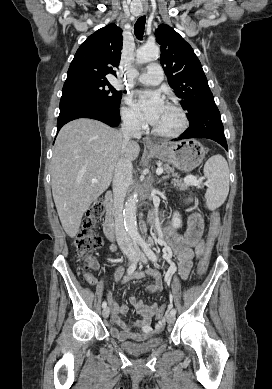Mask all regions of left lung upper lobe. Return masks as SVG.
<instances>
[{
    "label": "left lung upper lobe",
    "mask_w": 272,
    "mask_h": 389,
    "mask_svg": "<svg viewBox=\"0 0 272 389\" xmlns=\"http://www.w3.org/2000/svg\"><path fill=\"white\" fill-rule=\"evenodd\" d=\"M155 36L161 45L160 62L168 83L181 99L180 104L188 111V117H191L214 101L201 63L190 44L170 26L159 25Z\"/></svg>",
    "instance_id": "5c2ea615"
}]
</instances>
